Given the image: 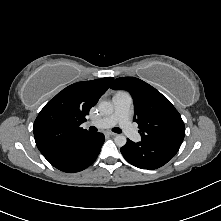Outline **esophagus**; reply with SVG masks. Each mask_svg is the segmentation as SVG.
I'll return each instance as SVG.
<instances>
[{
    "instance_id": "obj_1",
    "label": "esophagus",
    "mask_w": 221,
    "mask_h": 221,
    "mask_svg": "<svg viewBox=\"0 0 221 221\" xmlns=\"http://www.w3.org/2000/svg\"><path fill=\"white\" fill-rule=\"evenodd\" d=\"M107 134L110 135V136H116V135H117V134L114 133V132H107Z\"/></svg>"
}]
</instances>
